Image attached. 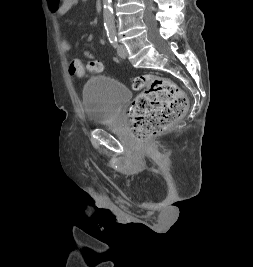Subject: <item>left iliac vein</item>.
<instances>
[{
    "label": "left iliac vein",
    "instance_id": "1",
    "mask_svg": "<svg viewBox=\"0 0 253 267\" xmlns=\"http://www.w3.org/2000/svg\"><path fill=\"white\" fill-rule=\"evenodd\" d=\"M117 53L122 59H126L128 56L127 49L124 45H118Z\"/></svg>",
    "mask_w": 253,
    "mask_h": 267
}]
</instances>
